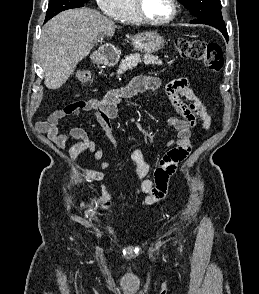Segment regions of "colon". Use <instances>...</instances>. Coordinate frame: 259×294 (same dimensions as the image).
I'll return each mask as SVG.
<instances>
[{
    "mask_svg": "<svg viewBox=\"0 0 259 294\" xmlns=\"http://www.w3.org/2000/svg\"><path fill=\"white\" fill-rule=\"evenodd\" d=\"M174 45L177 52L183 58L200 61L211 72L217 73L223 68V53L220 45L217 43L177 38L174 41ZM92 77V71L89 69L79 70L76 74L77 82L82 85L90 84Z\"/></svg>",
    "mask_w": 259,
    "mask_h": 294,
    "instance_id": "1",
    "label": "colon"
}]
</instances>
